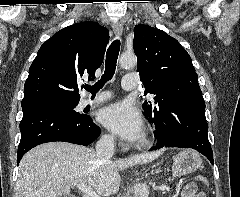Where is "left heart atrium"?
Listing matches in <instances>:
<instances>
[{
	"label": "left heart atrium",
	"instance_id": "obj_1",
	"mask_svg": "<svg viewBox=\"0 0 240 197\" xmlns=\"http://www.w3.org/2000/svg\"><path fill=\"white\" fill-rule=\"evenodd\" d=\"M100 121L106 128L128 141L139 139L144 129L139 110L128 101H120L103 109Z\"/></svg>",
	"mask_w": 240,
	"mask_h": 197
}]
</instances>
